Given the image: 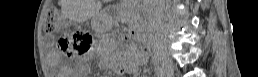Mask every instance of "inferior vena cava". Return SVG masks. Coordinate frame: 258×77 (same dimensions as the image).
I'll use <instances>...</instances> for the list:
<instances>
[{
  "mask_svg": "<svg viewBox=\"0 0 258 77\" xmlns=\"http://www.w3.org/2000/svg\"><path fill=\"white\" fill-rule=\"evenodd\" d=\"M153 3L151 5L149 13V21L151 24L158 23L162 20L163 16V0H151Z\"/></svg>",
  "mask_w": 258,
  "mask_h": 77,
  "instance_id": "obj_1",
  "label": "inferior vena cava"
}]
</instances>
